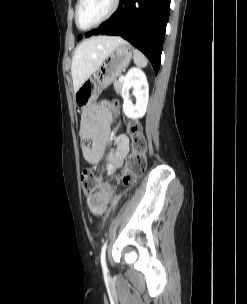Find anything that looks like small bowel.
Masks as SVG:
<instances>
[{
	"instance_id": "small-bowel-1",
	"label": "small bowel",
	"mask_w": 247,
	"mask_h": 304,
	"mask_svg": "<svg viewBox=\"0 0 247 304\" xmlns=\"http://www.w3.org/2000/svg\"><path fill=\"white\" fill-rule=\"evenodd\" d=\"M114 108L98 104L86 109L82 115L80 135L82 138V154L91 165L106 162L107 174H112L120 167L129 153V138L121 133L115 139V149L105 151L110 142L109 123L114 115Z\"/></svg>"
}]
</instances>
